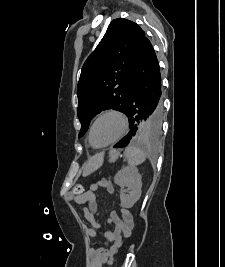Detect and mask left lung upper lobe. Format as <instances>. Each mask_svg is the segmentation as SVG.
<instances>
[{"label": "left lung upper lobe", "mask_w": 225, "mask_h": 267, "mask_svg": "<svg viewBox=\"0 0 225 267\" xmlns=\"http://www.w3.org/2000/svg\"><path fill=\"white\" fill-rule=\"evenodd\" d=\"M146 39L145 32L133 21L117 18L110 23L82 67L77 87L79 137L101 111L112 108L127 113L134 72ZM160 130L161 126L148 118L138 122L136 133L155 137Z\"/></svg>", "instance_id": "left-lung-upper-lobe-1"}]
</instances>
